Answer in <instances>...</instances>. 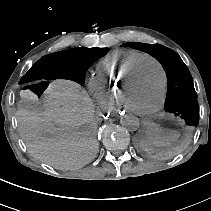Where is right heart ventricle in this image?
<instances>
[{"label":"right heart ventricle","instance_id":"1","mask_svg":"<svg viewBox=\"0 0 211 211\" xmlns=\"http://www.w3.org/2000/svg\"><path fill=\"white\" fill-rule=\"evenodd\" d=\"M147 55L130 51L113 52L96 67V80L106 96V107L118 103V89L124 75Z\"/></svg>","mask_w":211,"mask_h":211}]
</instances>
